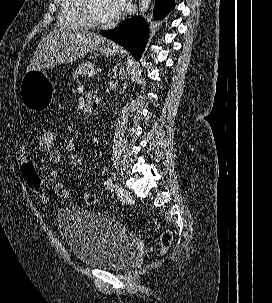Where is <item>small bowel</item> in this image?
Wrapping results in <instances>:
<instances>
[{"label": "small bowel", "instance_id": "obj_1", "mask_svg": "<svg viewBox=\"0 0 272 303\" xmlns=\"http://www.w3.org/2000/svg\"><path fill=\"white\" fill-rule=\"evenodd\" d=\"M42 152L48 155L50 162L59 163L62 159L61 152L56 148H45L42 146L36 138L27 140L18 150L16 155L17 163L22 166L27 163V155L31 152ZM57 177L56 172H52L47 175L45 178L47 181H53ZM41 203L48 204L51 200V196L49 194L41 196Z\"/></svg>", "mask_w": 272, "mask_h": 303}]
</instances>
